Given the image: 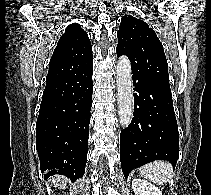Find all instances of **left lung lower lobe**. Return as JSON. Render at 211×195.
Segmentation results:
<instances>
[{
	"label": "left lung lower lobe",
	"instance_id": "1",
	"mask_svg": "<svg viewBox=\"0 0 211 195\" xmlns=\"http://www.w3.org/2000/svg\"><path fill=\"white\" fill-rule=\"evenodd\" d=\"M132 74L134 117L120 134V161L126 179L136 167L155 160H167L175 166L179 157L172 95L148 77Z\"/></svg>",
	"mask_w": 211,
	"mask_h": 195
}]
</instances>
